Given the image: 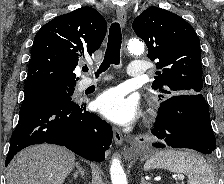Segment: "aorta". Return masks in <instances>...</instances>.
I'll use <instances>...</instances> for the list:
<instances>
[{"mask_svg": "<svg viewBox=\"0 0 224 184\" xmlns=\"http://www.w3.org/2000/svg\"><path fill=\"white\" fill-rule=\"evenodd\" d=\"M127 49L134 54H140L144 51V45L139 39L129 40L127 43ZM110 174L112 184H127L126 175L120 164V161L116 158L112 159L110 166Z\"/></svg>", "mask_w": 224, "mask_h": 184, "instance_id": "aorta-1", "label": "aorta"}]
</instances>
